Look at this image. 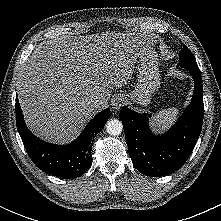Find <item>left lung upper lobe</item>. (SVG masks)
<instances>
[{"label": "left lung upper lobe", "mask_w": 221, "mask_h": 221, "mask_svg": "<svg viewBox=\"0 0 221 221\" xmlns=\"http://www.w3.org/2000/svg\"><path fill=\"white\" fill-rule=\"evenodd\" d=\"M180 61L178 63L179 66L186 68L189 71L200 72L197 62L192 55L191 51L187 48L186 45L183 46L182 51L179 53Z\"/></svg>", "instance_id": "5c2ea615"}]
</instances>
